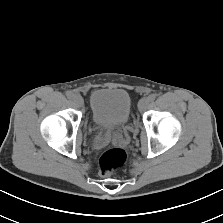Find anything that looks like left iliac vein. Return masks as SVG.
Segmentation results:
<instances>
[{"label": "left iliac vein", "mask_w": 223, "mask_h": 223, "mask_svg": "<svg viewBox=\"0 0 223 223\" xmlns=\"http://www.w3.org/2000/svg\"><path fill=\"white\" fill-rule=\"evenodd\" d=\"M149 104V100L147 97H143L142 99H140V101L138 102V110L140 112L144 111L147 106Z\"/></svg>", "instance_id": "left-iliac-vein-1"}]
</instances>
